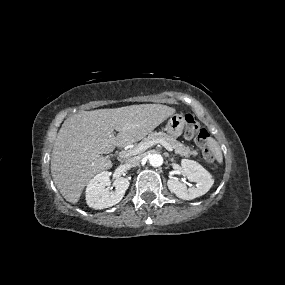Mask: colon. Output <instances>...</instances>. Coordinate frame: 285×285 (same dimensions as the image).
<instances>
[{
    "label": "colon",
    "mask_w": 285,
    "mask_h": 285,
    "mask_svg": "<svg viewBox=\"0 0 285 285\" xmlns=\"http://www.w3.org/2000/svg\"><path fill=\"white\" fill-rule=\"evenodd\" d=\"M186 123L185 137L188 139L194 138L196 144L201 148L206 159L211 161L214 166H217L215 162V155L212 147V139L209 132L200 126L192 114H186L184 116Z\"/></svg>",
    "instance_id": "5ec220e1"
}]
</instances>
